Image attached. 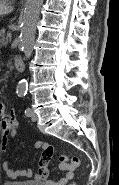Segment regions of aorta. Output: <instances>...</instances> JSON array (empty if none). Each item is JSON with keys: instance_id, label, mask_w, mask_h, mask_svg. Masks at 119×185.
<instances>
[{"instance_id": "762f6f07", "label": "aorta", "mask_w": 119, "mask_h": 185, "mask_svg": "<svg viewBox=\"0 0 119 185\" xmlns=\"http://www.w3.org/2000/svg\"><path fill=\"white\" fill-rule=\"evenodd\" d=\"M43 0H26L24 13L21 19L20 45L24 57L28 60L33 51V42L36 32V25L40 14ZM27 91V81L22 79L17 85V93L25 94Z\"/></svg>"}]
</instances>
